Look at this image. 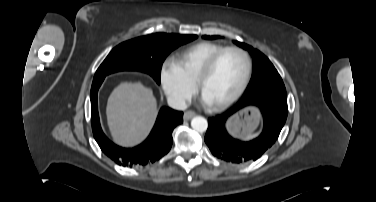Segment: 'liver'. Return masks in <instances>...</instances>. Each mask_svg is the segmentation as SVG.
I'll use <instances>...</instances> for the list:
<instances>
[{
    "label": "liver",
    "mask_w": 376,
    "mask_h": 202,
    "mask_svg": "<svg viewBox=\"0 0 376 202\" xmlns=\"http://www.w3.org/2000/svg\"><path fill=\"white\" fill-rule=\"evenodd\" d=\"M106 114L114 142L123 147H133L151 131L157 114V102L150 88L140 82H125L109 96Z\"/></svg>",
    "instance_id": "liver-1"
}]
</instances>
